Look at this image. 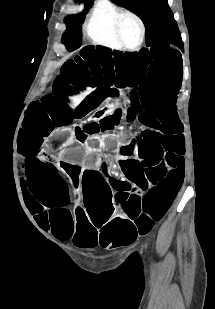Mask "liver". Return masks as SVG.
Listing matches in <instances>:
<instances>
[{
    "mask_svg": "<svg viewBox=\"0 0 215 309\" xmlns=\"http://www.w3.org/2000/svg\"><path fill=\"white\" fill-rule=\"evenodd\" d=\"M92 90H94V88H92V86H86V90H82V92H80V94H73V96H69V98L71 100L72 108H75V106H77V104H79V102H81V100H84L85 96H87V94H90V92H92Z\"/></svg>",
    "mask_w": 215,
    "mask_h": 309,
    "instance_id": "6515ba94",
    "label": "liver"
}]
</instances>
